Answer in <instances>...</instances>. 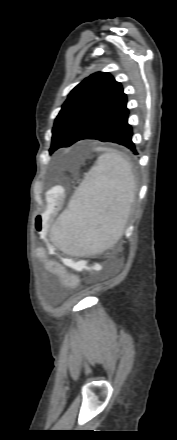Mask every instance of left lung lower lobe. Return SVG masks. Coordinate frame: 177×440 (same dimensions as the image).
I'll use <instances>...</instances> for the list:
<instances>
[{"instance_id": "0a47b994", "label": "left lung lower lobe", "mask_w": 177, "mask_h": 440, "mask_svg": "<svg viewBox=\"0 0 177 440\" xmlns=\"http://www.w3.org/2000/svg\"><path fill=\"white\" fill-rule=\"evenodd\" d=\"M129 111L124 107L113 117L102 123L83 139H96L102 142H113L129 148L134 154H137L135 144L132 142V127L128 124Z\"/></svg>"}]
</instances>
